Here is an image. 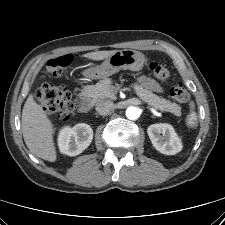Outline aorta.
Listing matches in <instances>:
<instances>
[{
  "label": "aorta",
  "mask_w": 225,
  "mask_h": 225,
  "mask_svg": "<svg viewBox=\"0 0 225 225\" xmlns=\"http://www.w3.org/2000/svg\"><path fill=\"white\" fill-rule=\"evenodd\" d=\"M140 116V110L137 107L130 106L126 110V117L130 120H136Z\"/></svg>",
  "instance_id": "1"
}]
</instances>
